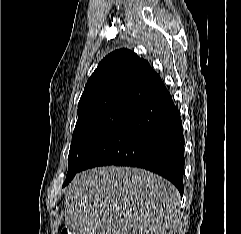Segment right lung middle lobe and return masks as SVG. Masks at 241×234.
Here are the masks:
<instances>
[{"label": "right lung middle lobe", "mask_w": 241, "mask_h": 234, "mask_svg": "<svg viewBox=\"0 0 241 234\" xmlns=\"http://www.w3.org/2000/svg\"><path fill=\"white\" fill-rule=\"evenodd\" d=\"M137 104L109 102L78 110L68 158V172L63 186L67 185L93 148L123 120Z\"/></svg>", "instance_id": "obj_1"}]
</instances>
